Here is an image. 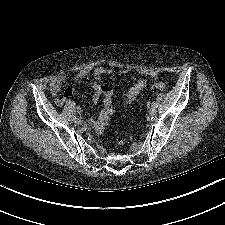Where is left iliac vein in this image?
Listing matches in <instances>:
<instances>
[{"label": "left iliac vein", "mask_w": 225, "mask_h": 225, "mask_svg": "<svg viewBox=\"0 0 225 225\" xmlns=\"http://www.w3.org/2000/svg\"><path fill=\"white\" fill-rule=\"evenodd\" d=\"M156 113V107L155 106H151L150 109H149V114L151 116H154Z\"/></svg>", "instance_id": "left-iliac-vein-1"}]
</instances>
